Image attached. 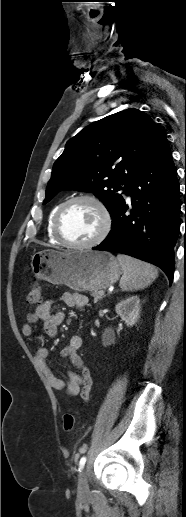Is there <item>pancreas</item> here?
<instances>
[{"mask_svg": "<svg viewBox=\"0 0 186 517\" xmlns=\"http://www.w3.org/2000/svg\"><path fill=\"white\" fill-rule=\"evenodd\" d=\"M91 296L94 298V303H97L103 298V295H100L98 290L91 291Z\"/></svg>", "mask_w": 186, "mask_h": 517, "instance_id": "cf45deb5", "label": "pancreas"}]
</instances>
